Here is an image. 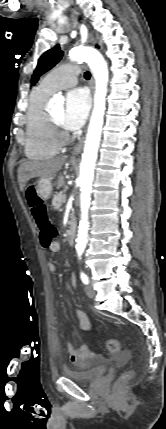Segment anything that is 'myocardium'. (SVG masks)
I'll list each match as a JSON object with an SVG mask.
<instances>
[{"label": "myocardium", "instance_id": "obj_1", "mask_svg": "<svg viewBox=\"0 0 166 429\" xmlns=\"http://www.w3.org/2000/svg\"><path fill=\"white\" fill-rule=\"evenodd\" d=\"M47 119L54 141L58 145L65 144L69 140V134L67 131H65L62 126L53 119L50 113H47Z\"/></svg>", "mask_w": 166, "mask_h": 429}]
</instances>
